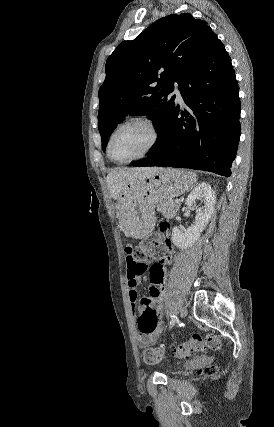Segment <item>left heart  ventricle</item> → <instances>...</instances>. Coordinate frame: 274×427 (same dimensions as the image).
Instances as JSON below:
<instances>
[{
	"mask_svg": "<svg viewBox=\"0 0 274 427\" xmlns=\"http://www.w3.org/2000/svg\"><path fill=\"white\" fill-rule=\"evenodd\" d=\"M151 140L152 133L145 124L133 123L114 135L111 150L117 159L125 161L143 152Z\"/></svg>",
	"mask_w": 274,
	"mask_h": 427,
	"instance_id": "1",
	"label": "left heart ventricle"
}]
</instances>
